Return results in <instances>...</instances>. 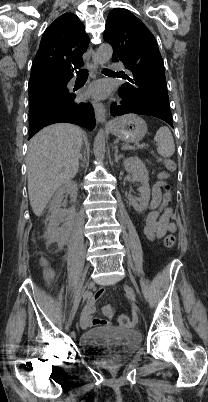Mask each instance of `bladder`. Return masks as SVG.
<instances>
[{
    "instance_id": "obj_1",
    "label": "bladder",
    "mask_w": 208,
    "mask_h": 402,
    "mask_svg": "<svg viewBox=\"0 0 208 402\" xmlns=\"http://www.w3.org/2000/svg\"><path fill=\"white\" fill-rule=\"evenodd\" d=\"M141 343L140 334L130 329L99 327L83 331L81 345L95 363H120L132 355ZM104 357L105 359H99Z\"/></svg>"
}]
</instances>
